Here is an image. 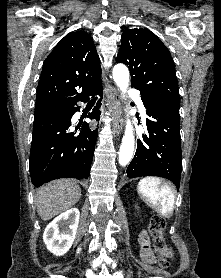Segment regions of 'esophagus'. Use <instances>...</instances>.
<instances>
[{
    "mask_svg": "<svg viewBox=\"0 0 221 278\" xmlns=\"http://www.w3.org/2000/svg\"><path fill=\"white\" fill-rule=\"evenodd\" d=\"M108 96L111 100L110 112L113 117V132L118 136L121 134L124 127V120L121 117L122 110L118 90L113 86H108Z\"/></svg>",
    "mask_w": 221,
    "mask_h": 278,
    "instance_id": "1",
    "label": "esophagus"
}]
</instances>
